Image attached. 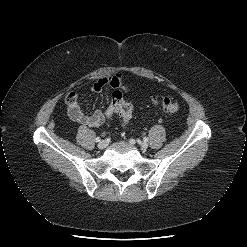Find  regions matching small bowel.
I'll list each match as a JSON object with an SVG mask.
<instances>
[{
	"label": "small bowel",
	"mask_w": 247,
	"mask_h": 247,
	"mask_svg": "<svg viewBox=\"0 0 247 247\" xmlns=\"http://www.w3.org/2000/svg\"><path fill=\"white\" fill-rule=\"evenodd\" d=\"M106 86L114 90L122 89L125 92L129 91L130 88L124 75L118 73L116 75L100 78L94 84L92 91L99 92ZM68 114L73 121L88 127H99L105 122L106 118V113L101 110H97L92 114H86L77 102L69 104Z\"/></svg>",
	"instance_id": "small-bowel-1"
}]
</instances>
